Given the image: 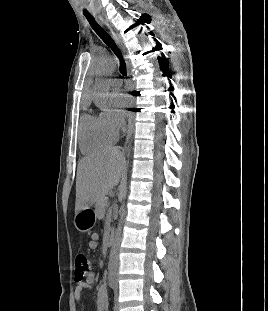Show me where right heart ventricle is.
<instances>
[{
    "label": "right heart ventricle",
    "mask_w": 268,
    "mask_h": 311,
    "mask_svg": "<svg viewBox=\"0 0 268 311\" xmlns=\"http://www.w3.org/2000/svg\"><path fill=\"white\" fill-rule=\"evenodd\" d=\"M117 134L105 122L101 113L86 112L79 124V145L83 153L94 154L110 147Z\"/></svg>",
    "instance_id": "obj_1"
}]
</instances>
